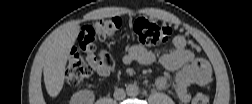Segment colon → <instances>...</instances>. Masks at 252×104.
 <instances>
[{
  "label": "colon",
  "instance_id": "colon-1",
  "mask_svg": "<svg viewBox=\"0 0 252 104\" xmlns=\"http://www.w3.org/2000/svg\"><path fill=\"white\" fill-rule=\"evenodd\" d=\"M121 27L119 18L97 20L83 25L78 33V47L74 48L67 59L65 76L71 85H78L91 76V69L84 62L82 54L89 55L94 51L97 41L105 40L116 35ZM134 30L143 45H154L167 41L173 33V28L166 24L157 23L144 17L134 22ZM101 63L110 71L114 69V59L107 50L99 53ZM209 96L204 92H197L193 97V104H207Z\"/></svg>",
  "mask_w": 252,
  "mask_h": 104
}]
</instances>
